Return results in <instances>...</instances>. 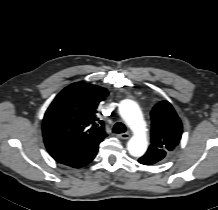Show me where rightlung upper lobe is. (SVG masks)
Here are the masks:
<instances>
[{"mask_svg": "<svg viewBox=\"0 0 218 210\" xmlns=\"http://www.w3.org/2000/svg\"><path fill=\"white\" fill-rule=\"evenodd\" d=\"M108 95L105 88L76 82L63 89L43 119V137H56L77 144L101 142L107 134L97 117V106Z\"/></svg>", "mask_w": 218, "mask_h": 210, "instance_id": "1", "label": "right lung upper lobe"}]
</instances>
